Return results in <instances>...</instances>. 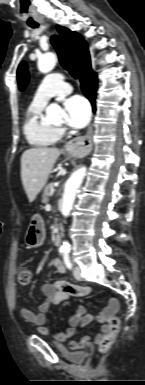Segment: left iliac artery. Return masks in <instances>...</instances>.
<instances>
[{
	"label": "left iliac artery",
	"mask_w": 145,
	"mask_h": 385,
	"mask_svg": "<svg viewBox=\"0 0 145 385\" xmlns=\"http://www.w3.org/2000/svg\"><path fill=\"white\" fill-rule=\"evenodd\" d=\"M63 259H64V263L65 265L67 266L68 269H71L72 268V263L69 259V255H68V252H64L63 253Z\"/></svg>",
	"instance_id": "obj_1"
}]
</instances>
